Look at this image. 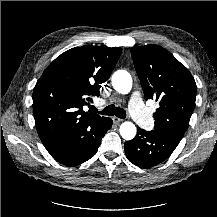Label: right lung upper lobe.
Wrapping results in <instances>:
<instances>
[{
  "label": "right lung upper lobe",
  "instance_id": "cb5924a9",
  "mask_svg": "<svg viewBox=\"0 0 217 217\" xmlns=\"http://www.w3.org/2000/svg\"><path fill=\"white\" fill-rule=\"evenodd\" d=\"M120 55L118 47H75L44 71L33 90V111L46 149L79 139L105 118L83 106L100 95V84L109 79Z\"/></svg>",
  "mask_w": 217,
  "mask_h": 217
}]
</instances>
